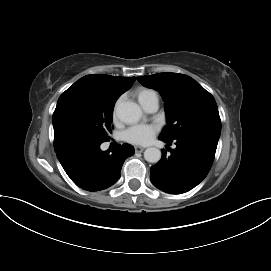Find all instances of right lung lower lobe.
<instances>
[{"instance_id":"98d812e1","label":"right lung lower lobe","mask_w":271,"mask_h":271,"mask_svg":"<svg viewBox=\"0 0 271 271\" xmlns=\"http://www.w3.org/2000/svg\"><path fill=\"white\" fill-rule=\"evenodd\" d=\"M100 143L70 149L58 159L70 179L80 188L99 191L112 186L119 178L125 159L134 154L128 144L118 145L109 154L101 151Z\"/></svg>"}]
</instances>
